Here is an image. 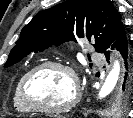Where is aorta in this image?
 <instances>
[{"label":"aorta","mask_w":133,"mask_h":118,"mask_svg":"<svg viewBox=\"0 0 133 118\" xmlns=\"http://www.w3.org/2000/svg\"><path fill=\"white\" fill-rule=\"evenodd\" d=\"M121 66L120 61L115 60L112 66V69L108 73L103 86L101 87L98 98L103 99L108 96L116 87L120 79Z\"/></svg>","instance_id":"762f6f07"}]
</instances>
